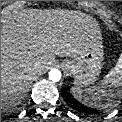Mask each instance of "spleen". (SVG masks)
<instances>
[{
    "mask_svg": "<svg viewBox=\"0 0 122 122\" xmlns=\"http://www.w3.org/2000/svg\"><path fill=\"white\" fill-rule=\"evenodd\" d=\"M122 86V54L118 58L116 66L105 76L100 86H93L82 90L81 88L74 86L71 88L73 96L83 104L89 107H95L99 109H105L110 106V98L116 97L118 92L114 93L111 89L113 87L119 88ZM108 88V89H107ZM106 98L108 102L102 103V99Z\"/></svg>",
    "mask_w": 122,
    "mask_h": 122,
    "instance_id": "obj_1",
    "label": "spleen"
}]
</instances>
